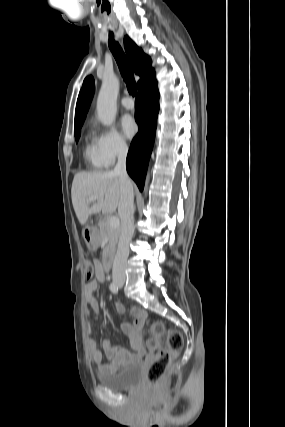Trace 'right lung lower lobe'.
<instances>
[{
	"mask_svg": "<svg viewBox=\"0 0 285 427\" xmlns=\"http://www.w3.org/2000/svg\"><path fill=\"white\" fill-rule=\"evenodd\" d=\"M159 92L155 75L146 80L140 87L135 104V120L139 131L133 138L126 168L130 177L143 190L149 158L152 152L157 115L159 112Z\"/></svg>",
	"mask_w": 285,
	"mask_h": 427,
	"instance_id": "right-lung-lower-lobe-1",
	"label": "right lung lower lobe"
}]
</instances>
